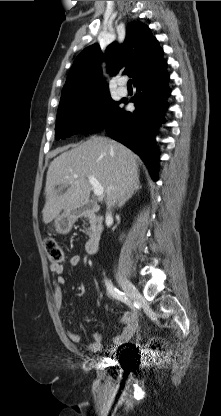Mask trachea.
I'll return each mask as SVG.
<instances>
[{"mask_svg":"<svg viewBox=\"0 0 221 416\" xmlns=\"http://www.w3.org/2000/svg\"><path fill=\"white\" fill-rule=\"evenodd\" d=\"M131 86H132V81L131 80H128L127 87H131Z\"/></svg>","mask_w":221,"mask_h":416,"instance_id":"1","label":"trachea"}]
</instances>
